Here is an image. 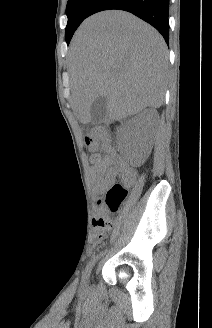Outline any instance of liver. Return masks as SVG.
<instances>
[{"label": "liver", "mask_w": 212, "mask_h": 328, "mask_svg": "<svg viewBox=\"0 0 212 328\" xmlns=\"http://www.w3.org/2000/svg\"><path fill=\"white\" fill-rule=\"evenodd\" d=\"M70 103L80 121L91 122L99 96L106 116L121 120L164 101L167 47L161 35L134 15L117 10L84 20L70 44Z\"/></svg>", "instance_id": "obj_1"}]
</instances>
